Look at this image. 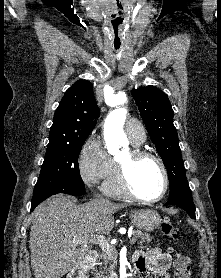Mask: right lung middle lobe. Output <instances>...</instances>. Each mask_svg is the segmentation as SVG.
<instances>
[{
    "label": "right lung middle lobe",
    "instance_id": "right-lung-middle-lobe-1",
    "mask_svg": "<svg viewBox=\"0 0 221 278\" xmlns=\"http://www.w3.org/2000/svg\"><path fill=\"white\" fill-rule=\"evenodd\" d=\"M86 138L47 146L41 173L34 188L33 199L59 185L85 187L80 176L78 157Z\"/></svg>",
    "mask_w": 221,
    "mask_h": 278
}]
</instances>
